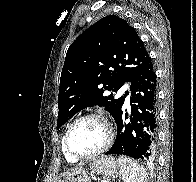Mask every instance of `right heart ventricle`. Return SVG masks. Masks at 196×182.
I'll use <instances>...</instances> for the list:
<instances>
[{"label":"right heart ventricle","mask_w":196,"mask_h":182,"mask_svg":"<svg viewBox=\"0 0 196 182\" xmlns=\"http://www.w3.org/2000/svg\"><path fill=\"white\" fill-rule=\"evenodd\" d=\"M63 152H64V155H65V157H66V159H67L68 162H70V163H75V162L77 161V160H75V159L69 157V156L65 153L64 149H63Z\"/></svg>","instance_id":"e07e8e85"}]
</instances>
